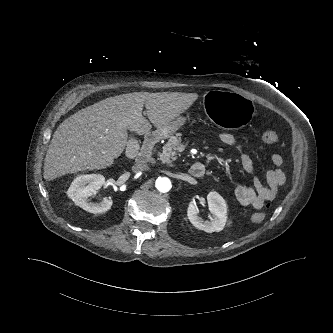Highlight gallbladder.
I'll return each mask as SVG.
<instances>
[{"instance_id":"gallbladder-1","label":"gallbladder","mask_w":333,"mask_h":333,"mask_svg":"<svg viewBox=\"0 0 333 333\" xmlns=\"http://www.w3.org/2000/svg\"><path fill=\"white\" fill-rule=\"evenodd\" d=\"M138 144V142L135 139H132V142H130V145Z\"/></svg>"}]
</instances>
